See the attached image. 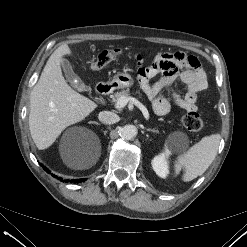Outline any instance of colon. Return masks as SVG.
Segmentation results:
<instances>
[{
  "instance_id": "colon-1",
  "label": "colon",
  "mask_w": 247,
  "mask_h": 247,
  "mask_svg": "<svg viewBox=\"0 0 247 247\" xmlns=\"http://www.w3.org/2000/svg\"><path fill=\"white\" fill-rule=\"evenodd\" d=\"M123 51L120 48H114L102 51L98 57L91 62L90 68L93 70L101 69L111 61L121 56ZM182 125L192 132H198L203 128V121L196 110H190L181 117Z\"/></svg>"
}]
</instances>
